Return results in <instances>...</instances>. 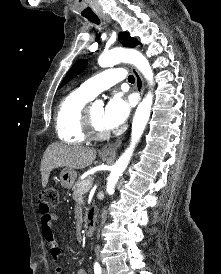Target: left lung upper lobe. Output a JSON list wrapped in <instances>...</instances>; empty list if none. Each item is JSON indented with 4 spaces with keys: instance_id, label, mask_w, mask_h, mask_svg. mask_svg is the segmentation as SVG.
Masks as SVG:
<instances>
[{
    "instance_id": "1",
    "label": "left lung upper lobe",
    "mask_w": 221,
    "mask_h": 274,
    "mask_svg": "<svg viewBox=\"0 0 221 274\" xmlns=\"http://www.w3.org/2000/svg\"><path fill=\"white\" fill-rule=\"evenodd\" d=\"M119 42L124 46V47H135L139 44L138 40H136L133 37H130L129 33L127 32H121L118 36ZM86 60L81 59L78 60L70 69V71L67 73L65 78L63 79L61 83V87L66 84L69 80H71L73 77L81 73L85 67H86Z\"/></svg>"
}]
</instances>
